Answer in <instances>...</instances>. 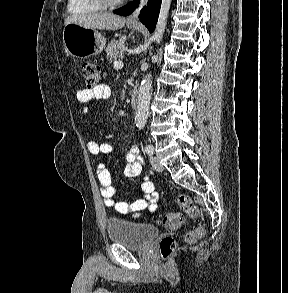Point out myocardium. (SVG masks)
I'll use <instances>...</instances> for the list:
<instances>
[{
    "mask_svg": "<svg viewBox=\"0 0 288 293\" xmlns=\"http://www.w3.org/2000/svg\"><path fill=\"white\" fill-rule=\"evenodd\" d=\"M104 7H111L121 4L124 0H95Z\"/></svg>",
    "mask_w": 288,
    "mask_h": 293,
    "instance_id": "obj_1",
    "label": "myocardium"
}]
</instances>
